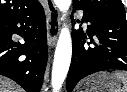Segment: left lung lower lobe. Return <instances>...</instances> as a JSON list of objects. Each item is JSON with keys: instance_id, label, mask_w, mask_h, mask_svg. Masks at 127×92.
Listing matches in <instances>:
<instances>
[{"instance_id": "1", "label": "left lung lower lobe", "mask_w": 127, "mask_h": 92, "mask_svg": "<svg viewBox=\"0 0 127 92\" xmlns=\"http://www.w3.org/2000/svg\"><path fill=\"white\" fill-rule=\"evenodd\" d=\"M83 11L82 22L89 25L86 33L82 28L72 32L73 53L67 76V92H72L82 78L95 72L127 70L126 19ZM86 38L91 39L87 43L89 46L85 44Z\"/></svg>"}]
</instances>
